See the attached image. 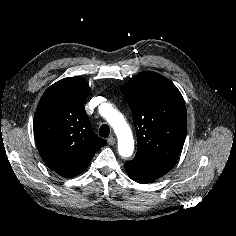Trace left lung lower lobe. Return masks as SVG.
I'll return each instance as SVG.
<instances>
[{"label": "left lung lower lobe", "mask_w": 236, "mask_h": 236, "mask_svg": "<svg viewBox=\"0 0 236 236\" xmlns=\"http://www.w3.org/2000/svg\"><path fill=\"white\" fill-rule=\"evenodd\" d=\"M174 163L136 153L132 161L125 163L129 177L141 184H147L165 175Z\"/></svg>", "instance_id": "1"}]
</instances>
